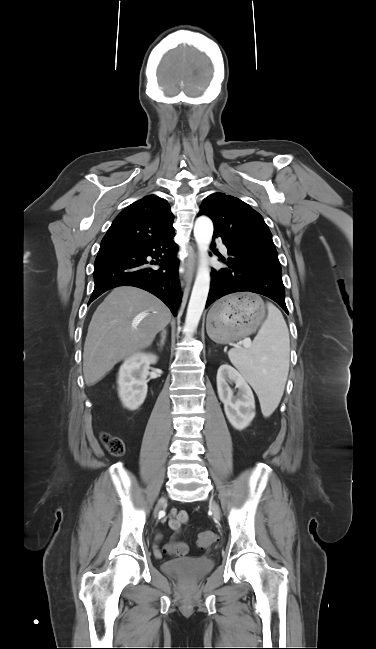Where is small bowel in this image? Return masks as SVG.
<instances>
[{"label":"small bowel","instance_id":"obj_1","mask_svg":"<svg viewBox=\"0 0 376 649\" xmlns=\"http://www.w3.org/2000/svg\"><path fill=\"white\" fill-rule=\"evenodd\" d=\"M187 521H188V514H187L186 511H184V510H179V509H173V510L171 511V513H170V517H169V519H168V524H169V526H170V528H171L172 530H174V531H179V529L181 528V526H182L183 524H185ZM157 538L160 539V538H161V534H157ZM177 543H178L177 540L174 539L171 545H175V544H177ZM184 553H185V552H184ZM184 553H181V554L174 553V554H175V555H182V554H184ZM155 555H156L157 557H161L162 554H161L160 550L156 549V550H155Z\"/></svg>","mask_w":376,"mask_h":649}]
</instances>
